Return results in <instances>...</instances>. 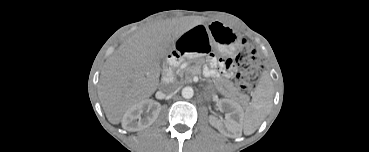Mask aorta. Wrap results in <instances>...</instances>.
Listing matches in <instances>:
<instances>
[{"instance_id": "762f6f07", "label": "aorta", "mask_w": 369, "mask_h": 152, "mask_svg": "<svg viewBox=\"0 0 369 152\" xmlns=\"http://www.w3.org/2000/svg\"><path fill=\"white\" fill-rule=\"evenodd\" d=\"M181 94H182V96H183L184 98H186V99H190V98H192V97H193V95H194V90H193V88H192V87L187 86V87H184V88L182 89Z\"/></svg>"}]
</instances>
